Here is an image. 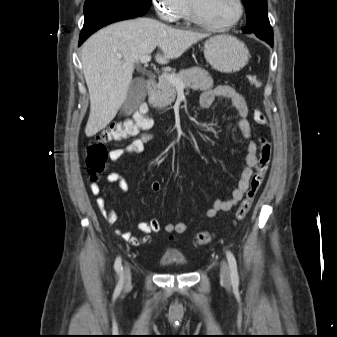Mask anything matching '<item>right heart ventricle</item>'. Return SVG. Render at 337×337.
I'll return each mask as SVG.
<instances>
[{
  "mask_svg": "<svg viewBox=\"0 0 337 337\" xmlns=\"http://www.w3.org/2000/svg\"><path fill=\"white\" fill-rule=\"evenodd\" d=\"M180 18H182L185 21H191L188 4L185 2V7L181 12Z\"/></svg>",
  "mask_w": 337,
  "mask_h": 337,
  "instance_id": "obj_1",
  "label": "right heart ventricle"
}]
</instances>
